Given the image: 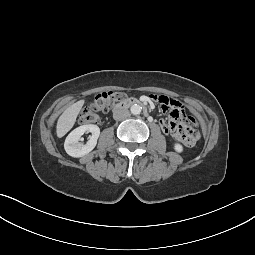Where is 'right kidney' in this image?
<instances>
[{
    "label": "right kidney",
    "instance_id": "right-kidney-1",
    "mask_svg": "<svg viewBox=\"0 0 255 255\" xmlns=\"http://www.w3.org/2000/svg\"><path fill=\"white\" fill-rule=\"evenodd\" d=\"M85 132H91V135L84 145L79 141ZM99 135L100 129L97 125L88 124L77 127L65 139L64 148L66 153L76 158L83 157L95 148Z\"/></svg>",
    "mask_w": 255,
    "mask_h": 255
}]
</instances>
